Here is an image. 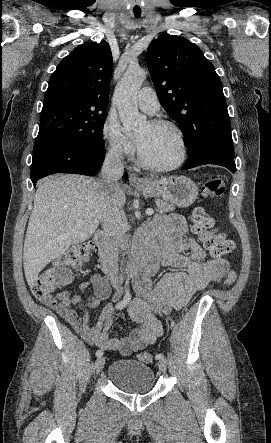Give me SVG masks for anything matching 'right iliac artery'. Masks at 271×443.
I'll use <instances>...</instances> for the list:
<instances>
[{"label":"right iliac artery","mask_w":271,"mask_h":443,"mask_svg":"<svg viewBox=\"0 0 271 443\" xmlns=\"http://www.w3.org/2000/svg\"><path fill=\"white\" fill-rule=\"evenodd\" d=\"M130 300H131V294H130L129 290H126L123 299L119 303H117L116 308L120 309V310L125 308L129 304ZM102 355H103V351L102 350H97L96 351V356L97 357H101Z\"/></svg>","instance_id":"obj_1"}]
</instances>
